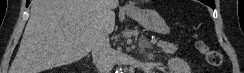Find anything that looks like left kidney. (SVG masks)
Listing matches in <instances>:
<instances>
[{
  "instance_id": "left-kidney-1",
  "label": "left kidney",
  "mask_w": 244,
  "mask_h": 73,
  "mask_svg": "<svg viewBox=\"0 0 244 73\" xmlns=\"http://www.w3.org/2000/svg\"><path fill=\"white\" fill-rule=\"evenodd\" d=\"M169 73H191L188 63L177 57L170 58L168 60Z\"/></svg>"
}]
</instances>
